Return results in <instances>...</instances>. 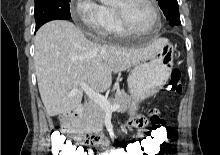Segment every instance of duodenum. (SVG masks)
I'll use <instances>...</instances> for the list:
<instances>
[{
    "instance_id": "410a0bca",
    "label": "duodenum",
    "mask_w": 220,
    "mask_h": 155,
    "mask_svg": "<svg viewBox=\"0 0 220 155\" xmlns=\"http://www.w3.org/2000/svg\"><path fill=\"white\" fill-rule=\"evenodd\" d=\"M83 112H84V106L77 105L76 107H74L73 109H71L64 115L62 123L65 129L66 135L69 138L73 139L76 143H81L84 145V143L87 140V137L77 132V130L75 129L73 125V122L75 120H78L81 118Z\"/></svg>"
}]
</instances>
